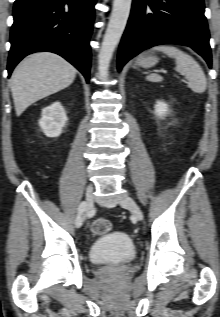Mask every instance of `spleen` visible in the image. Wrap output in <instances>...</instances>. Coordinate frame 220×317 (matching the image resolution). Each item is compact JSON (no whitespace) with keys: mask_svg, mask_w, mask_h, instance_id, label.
<instances>
[{"mask_svg":"<svg viewBox=\"0 0 220 317\" xmlns=\"http://www.w3.org/2000/svg\"><path fill=\"white\" fill-rule=\"evenodd\" d=\"M154 50L163 52L169 57L175 59V70L185 75L188 87L194 92L203 93L206 90V76L198 62L192 56L174 46L169 45L157 46ZM146 79L151 82H161L163 80V78L158 74H151L147 76Z\"/></svg>","mask_w":220,"mask_h":317,"instance_id":"obj_1","label":"spleen"}]
</instances>
